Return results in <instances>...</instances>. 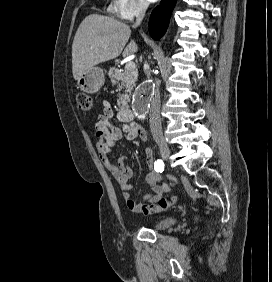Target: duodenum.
Instances as JSON below:
<instances>
[{
  "instance_id": "410a0bca",
  "label": "duodenum",
  "mask_w": 272,
  "mask_h": 282,
  "mask_svg": "<svg viewBox=\"0 0 272 282\" xmlns=\"http://www.w3.org/2000/svg\"><path fill=\"white\" fill-rule=\"evenodd\" d=\"M120 116L123 120H131L134 116V112L129 108L128 101H123L121 104Z\"/></svg>"
}]
</instances>
